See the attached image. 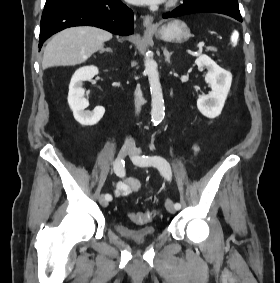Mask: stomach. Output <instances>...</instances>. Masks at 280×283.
<instances>
[{
	"label": "stomach",
	"instance_id": "stomach-1",
	"mask_svg": "<svg viewBox=\"0 0 280 283\" xmlns=\"http://www.w3.org/2000/svg\"><path fill=\"white\" fill-rule=\"evenodd\" d=\"M163 41L182 43L191 37L190 29L185 22L175 19L153 30Z\"/></svg>",
	"mask_w": 280,
	"mask_h": 283
}]
</instances>
